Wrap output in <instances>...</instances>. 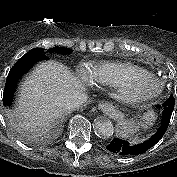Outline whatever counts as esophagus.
Instances as JSON below:
<instances>
[{"label": "esophagus", "instance_id": "34e87169", "mask_svg": "<svg viewBox=\"0 0 177 177\" xmlns=\"http://www.w3.org/2000/svg\"><path fill=\"white\" fill-rule=\"evenodd\" d=\"M98 108L103 112H108L113 108V105L109 102H100Z\"/></svg>", "mask_w": 177, "mask_h": 177}]
</instances>
